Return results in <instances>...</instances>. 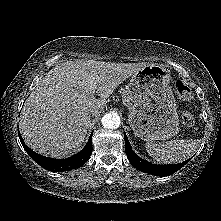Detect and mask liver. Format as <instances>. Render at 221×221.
Segmentation results:
<instances>
[{
    "mask_svg": "<svg viewBox=\"0 0 221 221\" xmlns=\"http://www.w3.org/2000/svg\"><path fill=\"white\" fill-rule=\"evenodd\" d=\"M144 66L94 60L56 65L24 103L19 127L25 143L53 158L77 152L91 125L90 111L103 110L114 89Z\"/></svg>",
    "mask_w": 221,
    "mask_h": 221,
    "instance_id": "obj_1",
    "label": "liver"
}]
</instances>
